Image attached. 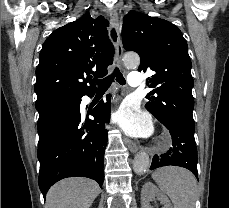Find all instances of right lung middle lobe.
<instances>
[{
  "instance_id": "right-lung-middle-lobe-1",
  "label": "right lung middle lobe",
  "mask_w": 229,
  "mask_h": 208,
  "mask_svg": "<svg viewBox=\"0 0 229 208\" xmlns=\"http://www.w3.org/2000/svg\"><path fill=\"white\" fill-rule=\"evenodd\" d=\"M79 98L60 97L36 103L39 112L38 124L52 116L57 111L75 104Z\"/></svg>"
}]
</instances>
